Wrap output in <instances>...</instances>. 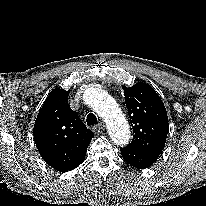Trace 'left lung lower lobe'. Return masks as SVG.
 Returning a JSON list of instances; mask_svg holds the SVG:
<instances>
[{
    "label": "left lung lower lobe",
    "instance_id": "obj_1",
    "mask_svg": "<svg viewBox=\"0 0 206 206\" xmlns=\"http://www.w3.org/2000/svg\"><path fill=\"white\" fill-rule=\"evenodd\" d=\"M120 151L127 163L139 169L150 167L160 155L157 153L135 150L130 147L121 148Z\"/></svg>",
    "mask_w": 206,
    "mask_h": 206
}]
</instances>
